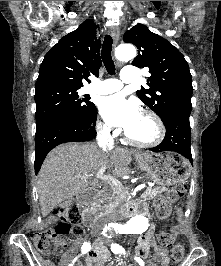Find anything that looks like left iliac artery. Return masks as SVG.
<instances>
[{"label": "left iliac artery", "instance_id": "44dca946", "mask_svg": "<svg viewBox=\"0 0 221 266\" xmlns=\"http://www.w3.org/2000/svg\"><path fill=\"white\" fill-rule=\"evenodd\" d=\"M111 251L115 254H126L125 249L119 244H112ZM135 260L139 263L140 266H145L143 260L140 257H135Z\"/></svg>", "mask_w": 221, "mask_h": 266}]
</instances>
